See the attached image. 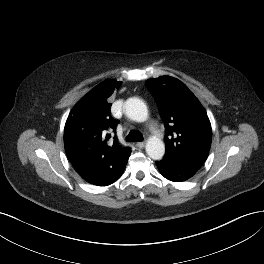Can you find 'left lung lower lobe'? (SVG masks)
Segmentation results:
<instances>
[{
    "instance_id": "obj_1",
    "label": "left lung lower lobe",
    "mask_w": 264,
    "mask_h": 264,
    "mask_svg": "<svg viewBox=\"0 0 264 264\" xmlns=\"http://www.w3.org/2000/svg\"><path fill=\"white\" fill-rule=\"evenodd\" d=\"M156 165L166 179L173 182H181L191 178L199 168L175 164L168 160L156 161Z\"/></svg>"
}]
</instances>
